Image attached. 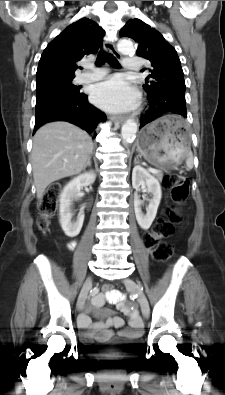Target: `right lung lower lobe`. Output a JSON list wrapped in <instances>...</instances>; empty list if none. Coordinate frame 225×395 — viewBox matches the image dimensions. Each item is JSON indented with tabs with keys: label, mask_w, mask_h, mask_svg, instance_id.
<instances>
[{
	"label": "right lung lower lobe",
	"mask_w": 225,
	"mask_h": 395,
	"mask_svg": "<svg viewBox=\"0 0 225 395\" xmlns=\"http://www.w3.org/2000/svg\"><path fill=\"white\" fill-rule=\"evenodd\" d=\"M105 120L106 115L90 105L84 93L58 94L36 105L34 132L48 122L68 121L92 133Z\"/></svg>",
	"instance_id": "1"
}]
</instances>
